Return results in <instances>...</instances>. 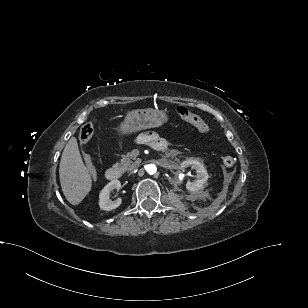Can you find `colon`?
Returning <instances> with one entry per match:
<instances>
[{
	"instance_id": "5ec220e1",
	"label": "colon",
	"mask_w": 308,
	"mask_h": 308,
	"mask_svg": "<svg viewBox=\"0 0 308 308\" xmlns=\"http://www.w3.org/2000/svg\"><path fill=\"white\" fill-rule=\"evenodd\" d=\"M177 114L182 120L190 123L199 131L203 133H208L210 131L209 125L199 115L192 113L185 106H178ZM93 133H94V122L90 121L85 123L80 128L79 131V140L81 145L83 146L87 145L90 139L92 138ZM83 159L90 176L92 177L93 180H96L97 174L90 155L84 152ZM222 162L225 167H232L235 163V158L230 155H226L222 158Z\"/></svg>"
}]
</instances>
